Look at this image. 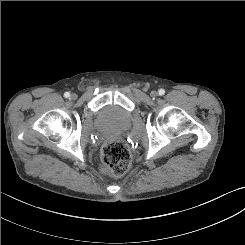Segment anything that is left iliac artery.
I'll return each mask as SVG.
<instances>
[{
    "mask_svg": "<svg viewBox=\"0 0 245 245\" xmlns=\"http://www.w3.org/2000/svg\"><path fill=\"white\" fill-rule=\"evenodd\" d=\"M158 92H159V95H161V96L165 94V90L164 89H159Z\"/></svg>",
    "mask_w": 245,
    "mask_h": 245,
    "instance_id": "1",
    "label": "left iliac artery"
}]
</instances>
